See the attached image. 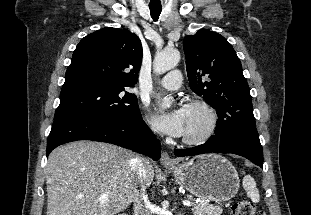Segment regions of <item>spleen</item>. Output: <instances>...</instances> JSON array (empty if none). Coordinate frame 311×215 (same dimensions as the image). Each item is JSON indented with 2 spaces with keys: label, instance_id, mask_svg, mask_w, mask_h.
<instances>
[{
  "label": "spleen",
  "instance_id": "3e777b00",
  "mask_svg": "<svg viewBox=\"0 0 311 215\" xmlns=\"http://www.w3.org/2000/svg\"><path fill=\"white\" fill-rule=\"evenodd\" d=\"M243 188L247 191V195L252 200V202H259L260 195L258 189L256 188V182L254 178H252L250 175H245L243 178Z\"/></svg>",
  "mask_w": 311,
  "mask_h": 215
}]
</instances>
